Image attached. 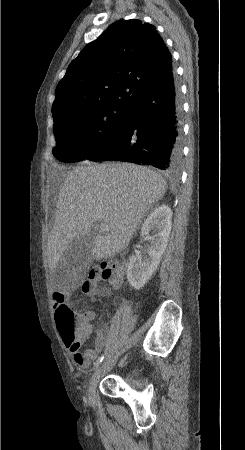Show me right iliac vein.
<instances>
[{
    "label": "right iliac vein",
    "mask_w": 245,
    "mask_h": 450,
    "mask_svg": "<svg viewBox=\"0 0 245 450\" xmlns=\"http://www.w3.org/2000/svg\"><path fill=\"white\" fill-rule=\"evenodd\" d=\"M105 366V363L101 364L94 372V374L92 375L89 385H88V390H87V394L90 400H95L96 398V388H97V384L99 382L101 373L103 371V368Z\"/></svg>",
    "instance_id": "right-iliac-vein-1"
}]
</instances>
